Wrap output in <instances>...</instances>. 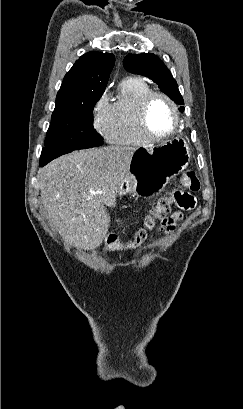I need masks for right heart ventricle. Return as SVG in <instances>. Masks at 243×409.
<instances>
[{"mask_svg":"<svg viewBox=\"0 0 243 409\" xmlns=\"http://www.w3.org/2000/svg\"><path fill=\"white\" fill-rule=\"evenodd\" d=\"M150 86L142 79L127 77L121 81L111 104V125L108 140L119 145L139 146L150 143L139 125L138 109Z\"/></svg>","mask_w":243,"mask_h":409,"instance_id":"right-heart-ventricle-1","label":"right heart ventricle"}]
</instances>
